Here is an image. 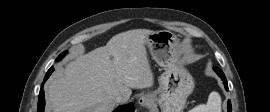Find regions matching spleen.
I'll return each mask as SVG.
<instances>
[{
  "label": "spleen",
  "mask_w": 270,
  "mask_h": 112,
  "mask_svg": "<svg viewBox=\"0 0 270 112\" xmlns=\"http://www.w3.org/2000/svg\"><path fill=\"white\" fill-rule=\"evenodd\" d=\"M188 112H221V97L218 92H211L206 104H200Z\"/></svg>",
  "instance_id": "3e777b00"
}]
</instances>
